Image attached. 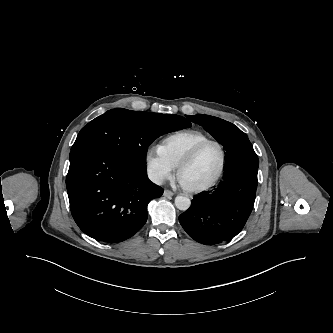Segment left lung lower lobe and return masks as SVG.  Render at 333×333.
<instances>
[{
    "instance_id": "obj_1",
    "label": "left lung lower lobe",
    "mask_w": 333,
    "mask_h": 333,
    "mask_svg": "<svg viewBox=\"0 0 333 333\" xmlns=\"http://www.w3.org/2000/svg\"><path fill=\"white\" fill-rule=\"evenodd\" d=\"M258 157L248 139L225 153V170L215 191L196 195L191 207L179 216L184 230L197 242L218 244L236 236L254 206Z\"/></svg>"
}]
</instances>
